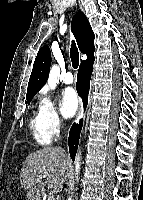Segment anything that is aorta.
<instances>
[{
  "instance_id": "762f6f07",
  "label": "aorta",
  "mask_w": 143,
  "mask_h": 200,
  "mask_svg": "<svg viewBox=\"0 0 143 200\" xmlns=\"http://www.w3.org/2000/svg\"><path fill=\"white\" fill-rule=\"evenodd\" d=\"M60 74V69L57 65H53L51 67L50 73H49V77H48V86L50 87V89H55L57 82H58V77ZM80 156L79 154H77L76 156V160H75V169H76V174L79 173L80 170Z\"/></svg>"
}]
</instances>
